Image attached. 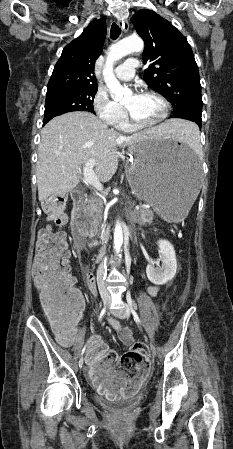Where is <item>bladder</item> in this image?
I'll use <instances>...</instances> for the list:
<instances>
[{
    "label": "bladder",
    "instance_id": "31cf9c89",
    "mask_svg": "<svg viewBox=\"0 0 233 449\" xmlns=\"http://www.w3.org/2000/svg\"><path fill=\"white\" fill-rule=\"evenodd\" d=\"M143 400L142 395H137L128 399L121 400H106L104 398L98 397V402L101 406L111 409V410H129L137 406Z\"/></svg>",
    "mask_w": 233,
    "mask_h": 449
}]
</instances>
